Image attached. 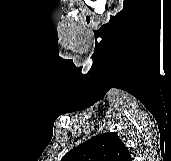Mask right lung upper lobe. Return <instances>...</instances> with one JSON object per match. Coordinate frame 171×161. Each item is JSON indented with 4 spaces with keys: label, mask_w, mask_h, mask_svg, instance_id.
<instances>
[{
    "label": "right lung upper lobe",
    "mask_w": 171,
    "mask_h": 161,
    "mask_svg": "<svg viewBox=\"0 0 171 161\" xmlns=\"http://www.w3.org/2000/svg\"><path fill=\"white\" fill-rule=\"evenodd\" d=\"M61 161H132V157L119 136L108 132L73 148Z\"/></svg>",
    "instance_id": "right-lung-upper-lobe-1"
}]
</instances>
